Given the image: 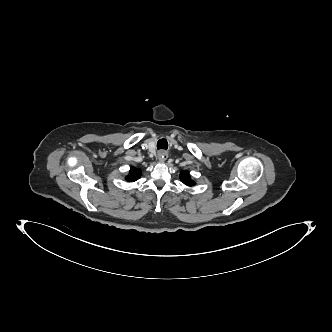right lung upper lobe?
<instances>
[{
  "instance_id": "obj_1",
  "label": "right lung upper lobe",
  "mask_w": 332,
  "mask_h": 332,
  "mask_svg": "<svg viewBox=\"0 0 332 332\" xmlns=\"http://www.w3.org/2000/svg\"><path fill=\"white\" fill-rule=\"evenodd\" d=\"M141 176V170L131 167L129 175L126 176L128 182H134L138 180Z\"/></svg>"
}]
</instances>
